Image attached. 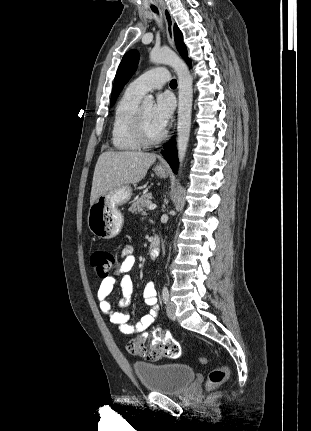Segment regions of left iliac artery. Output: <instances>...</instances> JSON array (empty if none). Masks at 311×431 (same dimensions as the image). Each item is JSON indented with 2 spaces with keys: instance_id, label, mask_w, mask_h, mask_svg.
Here are the masks:
<instances>
[{
  "instance_id": "obj_1",
  "label": "left iliac artery",
  "mask_w": 311,
  "mask_h": 431,
  "mask_svg": "<svg viewBox=\"0 0 311 431\" xmlns=\"http://www.w3.org/2000/svg\"><path fill=\"white\" fill-rule=\"evenodd\" d=\"M162 299L165 304L169 301V291L166 286L162 289Z\"/></svg>"
}]
</instances>
